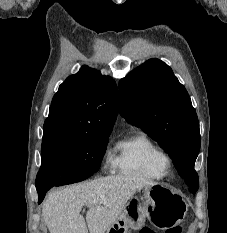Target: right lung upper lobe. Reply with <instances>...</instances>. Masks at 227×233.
Here are the masks:
<instances>
[{"label":"right lung upper lobe","instance_id":"obj_1","mask_svg":"<svg viewBox=\"0 0 227 233\" xmlns=\"http://www.w3.org/2000/svg\"><path fill=\"white\" fill-rule=\"evenodd\" d=\"M117 93L111 77L83 66L59 86L44 123V134H104L112 131L118 113Z\"/></svg>","mask_w":227,"mask_h":233}]
</instances>
